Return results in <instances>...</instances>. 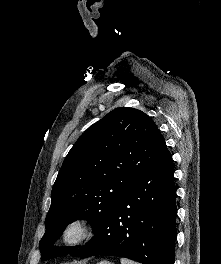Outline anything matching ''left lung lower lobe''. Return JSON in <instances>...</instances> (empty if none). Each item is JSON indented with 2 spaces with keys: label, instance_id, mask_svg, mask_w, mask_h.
<instances>
[{
  "label": "left lung lower lobe",
  "instance_id": "left-lung-lower-lobe-1",
  "mask_svg": "<svg viewBox=\"0 0 221 264\" xmlns=\"http://www.w3.org/2000/svg\"><path fill=\"white\" fill-rule=\"evenodd\" d=\"M168 149L118 200L94 237L71 255L125 257L142 264H174L176 187Z\"/></svg>",
  "mask_w": 221,
  "mask_h": 264
}]
</instances>
